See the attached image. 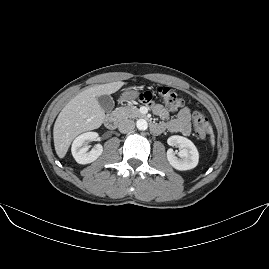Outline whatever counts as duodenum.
Wrapping results in <instances>:
<instances>
[{
	"label": "duodenum",
	"mask_w": 269,
	"mask_h": 269,
	"mask_svg": "<svg viewBox=\"0 0 269 269\" xmlns=\"http://www.w3.org/2000/svg\"><path fill=\"white\" fill-rule=\"evenodd\" d=\"M104 124L107 129H114L117 125V119L114 115H108L106 116L104 120ZM151 130L155 133H159L162 130V126L158 123H152L150 126Z\"/></svg>",
	"instance_id": "1"
}]
</instances>
